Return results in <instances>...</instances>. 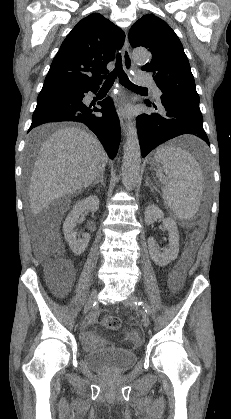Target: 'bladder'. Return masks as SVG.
I'll return each instance as SVG.
<instances>
[{
    "instance_id": "obj_1",
    "label": "bladder",
    "mask_w": 231,
    "mask_h": 419,
    "mask_svg": "<svg viewBox=\"0 0 231 419\" xmlns=\"http://www.w3.org/2000/svg\"><path fill=\"white\" fill-rule=\"evenodd\" d=\"M84 364L91 370L103 373H122L138 361L135 352L120 347H110L85 353Z\"/></svg>"
}]
</instances>
